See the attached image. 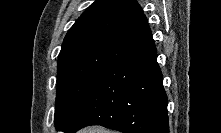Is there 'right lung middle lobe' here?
Wrapping results in <instances>:
<instances>
[{"label":"right lung middle lobe","mask_w":221,"mask_h":133,"mask_svg":"<svg viewBox=\"0 0 221 133\" xmlns=\"http://www.w3.org/2000/svg\"><path fill=\"white\" fill-rule=\"evenodd\" d=\"M105 68L65 69L57 73L55 126L66 132Z\"/></svg>","instance_id":"1"}]
</instances>
